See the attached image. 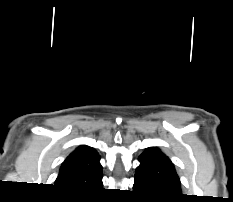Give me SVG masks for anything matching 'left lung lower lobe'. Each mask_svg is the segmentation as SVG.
<instances>
[{"label":"left lung lower lobe","mask_w":233,"mask_h":202,"mask_svg":"<svg viewBox=\"0 0 233 202\" xmlns=\"http://www.w3.org/2000/svg\"><path fill=\"white\" fill-rule=\"evenodd\" d=\"M133 191L145 199L155 202H179L183 195L171 189L158 188L150 184L142 176L135 175Z\"/></svg>","instance_id":"1"}]
</instances>
